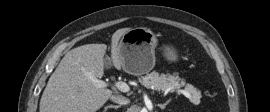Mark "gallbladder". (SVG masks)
Returning <instances> with one entry per match:
<instances>
[{"label": "gallbladder", "mask_w": 270, "mask_h": 112, "mask_svg": "<svg viewBox=\"0 0 270 112\" xmlns=\"http://www.w3.org/2000/svg\"><path fill=\"white\" fill-rule=\"evenodd\" d=\"M104 62H105L106 67H109L111 65V61L107 57H104Z\"/></svg>", "instance_id": "gallbladder-1"}]
</instances>
